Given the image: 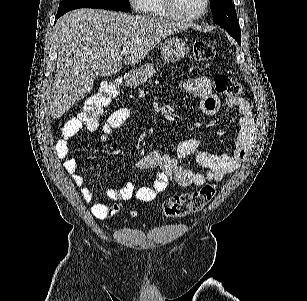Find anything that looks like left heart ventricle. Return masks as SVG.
Returning a JSON list of instances; mask_svg holds the SVG:
<instances>
[{
  "label": "left heart ventricle",
  "instance_id": "b2bd125f",
  "mask_svg": "<svg viewBox=\"0 0 307 301\" xmlns=\"http://www.w3.org/2000/svg\"><path fill=\"white\" fill-rule=\"evenodd\" d=\"M176 5L174 13H196L200 11L201 0H174Z\"/></svg>",
  "mask_w": 307,
  "mask_h": 301
}]
</instances>
